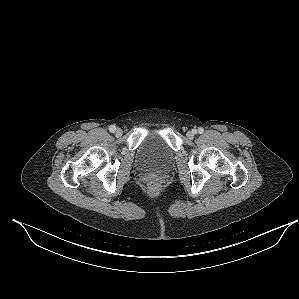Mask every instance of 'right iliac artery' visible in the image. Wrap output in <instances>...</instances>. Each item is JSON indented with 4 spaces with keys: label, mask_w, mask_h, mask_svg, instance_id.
Here are the masks:
<instances>
[{
    "label": "right iliac artery",
    "mask_w": 299,
    "mask_h": 299,
    "mask_svg": "<svg viewBox=\"0 0 299 299\" xmlns=\"http://www.w3.org/2000/svg\"><path fill=\"white\" fill-rule=\"evenodd\" d=\"M115 130H116L115 125H111V126L109 127V131H110L111 133H114Z\"/></svg>",
    "instance_id": "1"
}]
</instances>
